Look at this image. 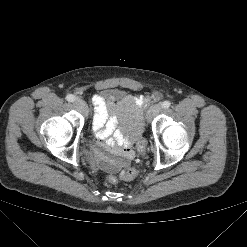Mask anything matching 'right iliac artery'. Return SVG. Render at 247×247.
Segmentation results:
<instances>
[{"mask_svg":"<svg viewBox=\"0 0 247 247\" xmlns=\"http://www.w3.org/2000/svg\"><path fill=\"white\" fill-rule=\"evenodd\" d=\"M75 99H76L75 96L72 95V94H68L66 96V100L69 101V102H73Z\"/></svg>","mask_w":247,"mask_h":247,"instance_id":"right-iliac-artery-1","label":"right iliac artery"}]
</instances>
